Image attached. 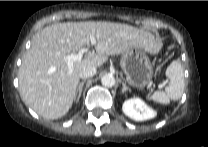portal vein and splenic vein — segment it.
<instances>
[{
  "instance_id": "1",
  "label": "portal vein and splenic vein",
  "mask_w": 208,
  "mask_h": 147,
  "mask_svg": "<svg viewBox=\"0 0 208 147\" xmlns=\"http://www.w3.org/2000/svg\"><path fill=\"white\" fill-rule=\"evenodd\" d=\"M90 41H91L92 46L95 45V43H96L95 37L91 36ZM88 50H89V48L85 47V48L80 49L77 54H67L65 56L67 66L71 69L73 63L75 61L81 60L83 58L84 53H86ZM159 87H160V85H159Z\"/></svg>"
}]
</instances>
